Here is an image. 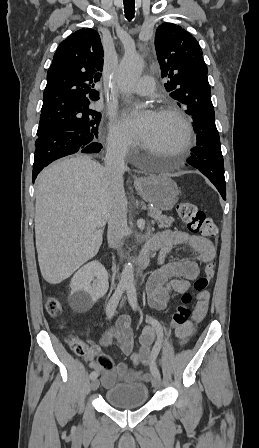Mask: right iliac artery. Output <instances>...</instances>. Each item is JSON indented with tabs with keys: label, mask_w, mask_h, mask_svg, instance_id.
<instances>
[{
	"label": "right iliac artery",
	"mask_w": 259,
	"mask_h": 448,
	"mask_svg": "<svg viewBox=\"0 0 259 448\" xmlns=\"http://www.w3.org/2000/svg\"><path fill=\"white\" fill-rule=\"evenodd\" d=\"M126 284L125 283H120L114 294L112 295V297L110 298L107 306H106V315L109 319H111L115 313V310L117 308V305L119 303V300L122 296V294L124 293V291L126 290ZM98 377V373L96 371H92L90 373V379H95Z\"/></svg>",
	"instance_id": "obj_1"
}]
</instances>
